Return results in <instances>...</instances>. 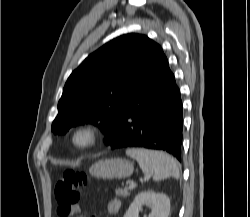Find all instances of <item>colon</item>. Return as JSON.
Listing matches in <instances>:
<instances>
[{
    "label": "colon",
    "mask_w": 250,
    "mask_h": 217,
    "mask_svg": "<svg viewBox=\"0 0 250 217\" xmlns=\"http://www.w3.org/2000/svg\"><path fill=\"white\" fill-rule=\"evenodd\" d=\"M88 182L87 175L75 170L64 171L55 184V199L62 214L78 205L82 187Z\"/></svg>",
    "instance_id": "obj_1"
}]
</instances>
